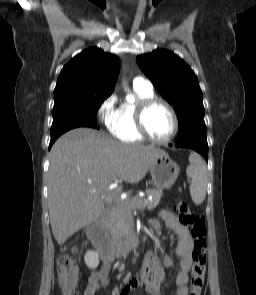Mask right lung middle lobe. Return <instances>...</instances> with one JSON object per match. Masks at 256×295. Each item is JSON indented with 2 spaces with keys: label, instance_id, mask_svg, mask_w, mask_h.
Returning <instances> with one entry per match:
<instances>
[{
  "label": "right lung middle lobe",
  "instance_id": "dd1d6c3e",
  "mask_svg": "<svg viewBox=\"0 0 256 295\" xmlns=\"http://www.w3.org/2000/svg\"><path fill=\"white\" fill-rule=\"evenodd\" d=\"M105 99L92 98L55 103L51 131L81 125L89 119L95 120L98 109Z\"/></svg>",
  "mask_w": 256,
  "mask_h": 295
}]
</instances>
